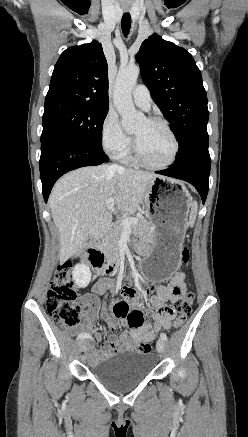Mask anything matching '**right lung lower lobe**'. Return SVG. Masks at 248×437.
<instances>
[{
    "mask_svg": "<svg viewBox=\"0 0 248 437\" xmlns=\"http://www.w3.org/2000/svg\"><path fill=\"white\" fill-rule=\"evenodd\" d=\"M108 161L102 148H95L80 140L53 136L41 141V157L39 161L40 175L45 202L54 183L68 171L95 166Z\"/></svg>",
    "mask_w": 248,
    "mask_h": 437,
    "instance_id": "right-lung-lower-lobe-1",
    "label": "right lung lower lobe"
}]
</instances>
